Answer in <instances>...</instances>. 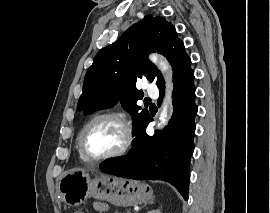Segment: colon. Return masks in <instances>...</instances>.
Instances as JSON below:
<instances>
[{
    "label": "colon",
    "mask_w": 270,
    "mask_h": 213,
    "mask_svg": "<svg viewBox=\"0 0 270 213\" xmlns=\"http://www.w3.org/2000/svg\"><path fill=\"white\" fill-rule=\"evenodd\" d=\"M74 213H83L82 211H75Z\"/></svg>",
    "instance_id": "colon-1"
}]
</instances>
